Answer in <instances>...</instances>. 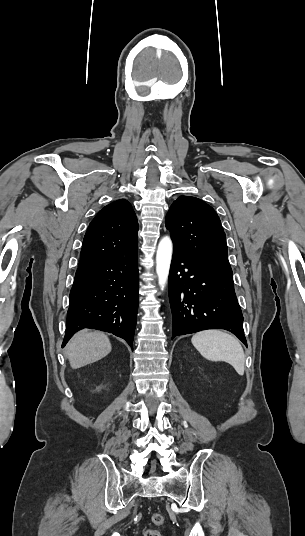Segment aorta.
<instances>
[{
    "mask_svg": "<svg viewBox=\"0 0 305 536\" xmlns=\"http://www.w3.org/2000/svg\"><path fill=\"white\" fill-rule=\"evenodd\" d=\"M172 253V240L170 237L165 236L160 240L156 252V273L158 276V284L161 290H164L168 281Z\"/></svg>",
    "mask_w": 305,
    "mask_h": 536,
    "instance_id": "1",
    "label": "aorta"
}]
</instances>
